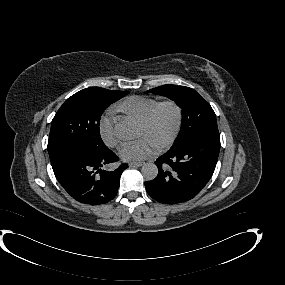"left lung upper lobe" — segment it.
<instances>
[{"label":"left lung upper lobe","mask_w":285,"mask_h":285,"mask_svg":"<svg viewBox=\"0 0 285 285\" xmlns=\"http://www.w3.org/2000/svg\"><path fill=\"white\" fill-rule=\"evenodd\" d=\"M150 92L174 100L182 108V124L174 145L210 129H217L211 106L194 90L185 86L163 85Z\"/></svg>","instance_id":"obj_1"}]
</instances>
